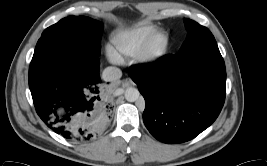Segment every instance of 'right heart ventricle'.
Returning <instances> with one entry per match:
<instances>
[{"label":"right heart ventricle","instance_id":"1","mask_svg":"<svg viewBox=\"0 0 267 166\" xmlns=\"http://www.w3.org/2000/svg\"><path fill=\"white\" fill-rule=\"evenodd\" d=\"M158 27L152 23L141 22L128 30L113 34L111 43L114 50L122 55L136 54Z\"/></svg>","mask_w":267,"mask_h":166}]
</instances>
